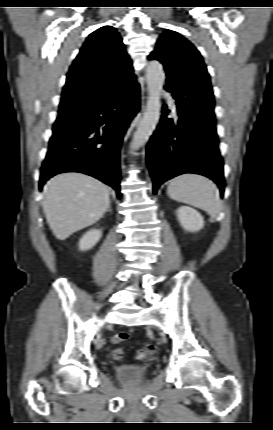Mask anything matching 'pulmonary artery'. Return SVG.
Listing matches in <instances>:
<instances>
[{
    "label": "pulmonary artery",
    "instance_id": "1",
    "mask_svg": "<svg viewBox=\"0 0 273 430\" xmlns=\"http://www.w3.org/2000/svg\"><path fill=\"white\" fill-rule=\"evenodd\" d=\"M165 96L167 97V99H168V103H169V105H170V107H171V109H172V111L174 112V113H176V105H175V103H174V100L172 99V97H171V95L169 94V93H165Z\"/></svg>",
    "mask_w": 273,
    "mask_h": 430
}]
</instances>
